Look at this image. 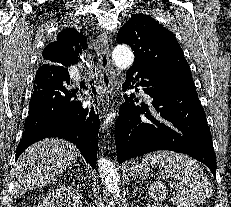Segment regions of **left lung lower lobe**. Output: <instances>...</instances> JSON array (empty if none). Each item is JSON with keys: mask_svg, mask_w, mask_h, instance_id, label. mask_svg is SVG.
Returning <instances> with one entry per match:
<instances>
[{"mask_svg": "<svg viewBox=\"0 0 231 207\" xmlns=\"http://www.w3.org/2000/svg\"><path fill=\"white\" fill-rule=\"evenodd\" d=\"M134 79L139 80L136 86L144 87L153 98L155 113L135 106L134 94L125 96L115 126L118 162L152 151L171 150L204 163L216 177L211 133L194 83L176 86L167 73L142 65L127 71L123 89L133 88Z\"/></svg>", "mask_w": 231, "mask_h": 207, "instance_id": "left-lung-lower-lobe-1", "label": "left lung lower lobe"}]
</instances>
